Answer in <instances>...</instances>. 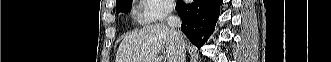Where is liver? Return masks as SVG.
<instances>
[{"mask_svg": "<svg viewBox=\"0 0 331 62\" xmlns=\"http://www.w3.org/2000/svg\"><path fill=\"white\" fill-rule=\"evenodd\" d=\"M165 46L168 62H175L174 37L162 23L147 25L121 42L115 62H157L159 51Z\"/></svg>", "mask_w": 331, "mask_h": 62, "instance_id": "1", "label": "liver"}]
</instances>
